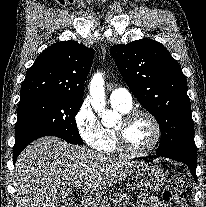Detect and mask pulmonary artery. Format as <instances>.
I'll list each match as a JSON object with an SVG mask.
<instances>
[{
	"label": "pulmonary artery",
	"mask_w": 206,
	"mask_h": 207,
	"mask_svg": "<svg viewBox=\"0 0 206 207\" xmlns=\"http://www.w3.org/2000/svg\"><path fill=\"white\" fill-rule=\"evenodd\" d=\"M111 103L122 106L123 108L130 109L132 107V96L125 88H117L112 91L110 95Z\"/></svg>",
	"instance_id": "pulmonary-artery-1"
}]
</instances>
